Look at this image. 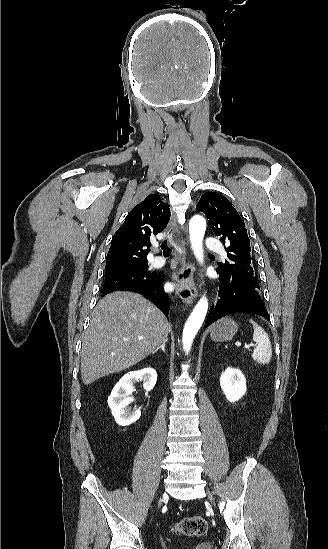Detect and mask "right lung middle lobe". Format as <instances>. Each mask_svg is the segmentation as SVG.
I'll return each mask as SVG.
<instances>
[{"label":"right lung middle lobe","instance_id":"obj_1","mask_svg":"<svg viewBox=\"0 0 328 549\" xmlns=\"http://www.w3.org/2000/svg\"><path fill=\"white\" fill-rule=\"evenodd\" d=\"M158 274L148 270V265L125 268L113 272H105V282L102 294L124 290L132 286H147Z\"/></svg>","mask_w":328,"mask_h":549}]
</instances>
